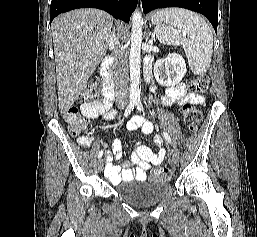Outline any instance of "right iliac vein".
<instances>
[{"instance_id":"right-iliac-vein-1","label":"right iliac vein","mask_w":257,"mask_h":237,"mask_svg":"<svg viewBox=\"0 0 257 237\" xmlns=\"http://www.w3.org/2000/svg\"><path fill=\"white\" fill-rule=\"evenodd\" d=\"M97 167H98V170L101 172L103 171L104 169V160L103 159H99L98 162H97Z\"/></svg>"}]
</instances>
